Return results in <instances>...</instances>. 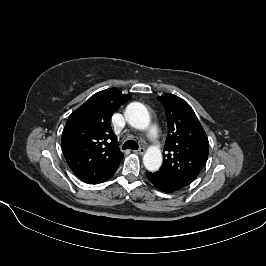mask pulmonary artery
I'll list each match as a JSON object with an SVG mask.
<instances>
[{
    "label": "pulmonary artery",
    "mask_w": 266,
    "mask_h": 266,
    "mask_svg": "<svg viewBox=\"0 0 266 266\" xmlns=\"http://www.w3.org/2000/svg\"><path fill=\"white\" fill-rule=\"evenodd\" d=\"M148 136L153 141H155L157 139L158 133H157V128L155 126L151 127Z\"/></svg>",
    "instance_id": "e3ab8cb5"
}]
</instances>
